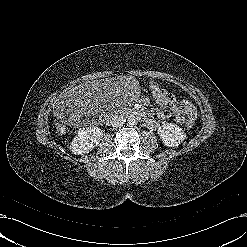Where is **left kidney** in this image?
Returning a JSON list of instances; mask_svg holds the SVG:
<instances>
[{
    "instance_id": "1",
    "label": "left kidney",
    "mask_w": 247,
    "mask_h": 247,
    "mask_svg": "<svg viewBox=\"0 0 247 247\" xmlns=\"http://www.w3.org/2000/svg\"><path fill=\"white\" fill-rule=\"evenodd\" d=\"M158 135L168 147H177L186 139L184 130L175 123H164L158 128Z\"/></svg>"
}]
</instances>
